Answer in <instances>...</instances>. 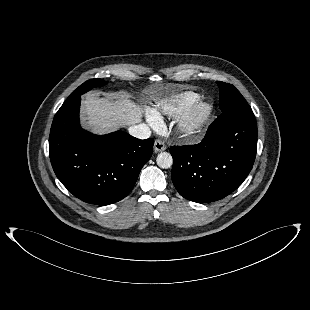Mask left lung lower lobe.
I'll use <instances>...</instances> for the list:
<instances>
[{
	"label": "left lung lower lobe",
	"instance_id": "left-lung-lower-lobe-1",
	"mask_svg": "<svg viewBox=\"0 0 310 310\" xmlns=\"http://www.w3.org/2000/svg\"><path fill=\"white\" fill-rule=\"evenodd\" d=\"M257 125L250 106L222 113L196 145L172 146V181L186 199L208 203L237 189L252 169Z\"/></svg>",
	"mask_w": 310,
	"mask_h": 310
}]
</instances>
